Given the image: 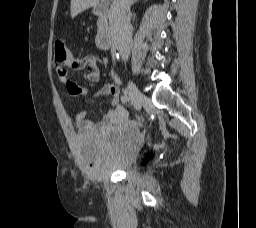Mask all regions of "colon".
I'll list each match as a JSON object with an SVG mask.
<instances>
[{
    "label": "colon",
    "mask_w": 256,
    "mask_h": 228,
    "mask_svg": "<svg viewBox=\"0 0 256 228\" xmlns=\"http://www.w3.org/2000/svg\"><path fill=\"white\" fill-rule=\"evenodd\" d=\"M70 51L63 41H56L54 46V62L58 65L65 64L70 58ZM143 122L142 119H140Z\"/></svg>",
    "instance_id": "1"
}]
</instances>
